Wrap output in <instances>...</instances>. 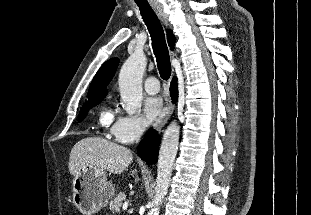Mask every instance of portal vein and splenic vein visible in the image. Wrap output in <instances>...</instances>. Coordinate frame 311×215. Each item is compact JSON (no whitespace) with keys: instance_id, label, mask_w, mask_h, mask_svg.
<instances>
[{"instance_id":"18ae733b","label":"portal vein and splenic vein","mask_w":311,"mask_h":215,"mask_svg":"<svg viewBox=\"0 0 311 215\" xmlns=\"http://www.w3.org/2000/svg\"><path fill=\"white\" fill-rule=\"evenodd\" d=\"M123 210H126L127 208H128V202H124V204H123Z\"/></svg>"}]
</instances>
